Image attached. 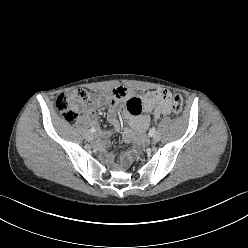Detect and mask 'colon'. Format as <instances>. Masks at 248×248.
Segmentation results:
<instances>
[{
  "label": "colon",
  "instance_id": "1",
  "mask_svg": "<svg viewBox=\"0 0 248 248\" xmlns=\"http://www.w3.org/2000/svg\"><path fill=\"white\" fill-rule=\"evenodd\" d=\"M162 96L172 101L173 112L176 115L181 114L183 109V99L179 94H172L168 90H162ZM89 95L84 90H78L70 95L61 94L57 97L55 106L63 115L66 121L72 122L77 118L78 111L74 108L73 103L80 105L88 102Z\"/></svg>",
  "mask_w": 248,
  "mask_h": 248
}]
</instances>
